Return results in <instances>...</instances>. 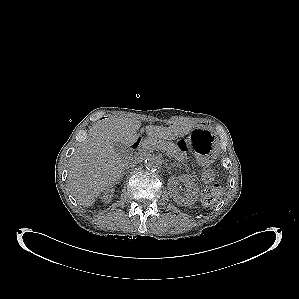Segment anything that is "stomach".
Returning a JSON list of instances; mask_svg holds the SVG:
<instances>
[{
    "mask_svg": "<svg viewBox=\"0 0 299 299\" xmlns=\"http://www.w3.org/2000/svg\"><path fill=\"white\" fill-rule=\"evenodd\" d=\"M174 147L179 152L188 151L197 161H208L217 152V141L213 133L206 128H196L188 136L179 135L174 140Z\"/></svg>",
    "mask_w": 299,
    "mask_h": 299,
    "instance_id": "stomach-1",
    "label": "stomach"
}]
</instances>
